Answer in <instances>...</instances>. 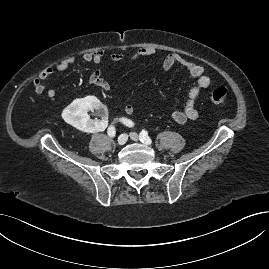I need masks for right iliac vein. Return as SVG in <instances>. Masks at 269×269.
Listing matches in <instances>:
<instances>
[{
	"mask_svg": "<svg viewBox=\"0 0 269 269\" xmlns=\"http://www.w3.org/2000/svg\"><path fill=\"white\" fill-rule=\"evenodd\" d=\"M127 141V135L126 134H121L117 140L119 145H124Z\"/></svg>",
	"mask_w": 269,
	"mask_h": 269,
	"instance_id": "obj_1",
	"label": "right iliac vein"
}]
</instances>
